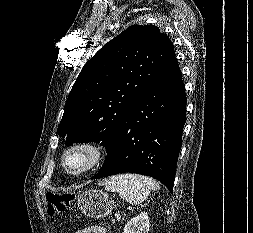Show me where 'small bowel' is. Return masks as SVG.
<instances>
[{
  "mask_svg": "<svg viewBox=\"0 0 253 233\" xmlns=\"http://www.w3.org/2000/svg\"><path fill=\"white\" fill-rule=\"evenodd\" d=\"M76 233H107V231L103 227L92 226V227L85 228L83 230H79Z\"/></svg>",
  "mask_w": 253,
  "mask_h": 233,
  "instance_id": "1",
  "label": "small bowel"
}]
</instances>
